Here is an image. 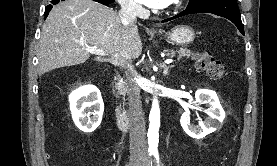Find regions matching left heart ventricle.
Instances as JSON below:
<instances>
[{
	"instance_id": "b2bd125f",
	"label": "left heart ventricle",
	"mask_w": 277,
	"mask_h": 166,
	"mask_svg": "<svg viewBox=\"0 0 277 166\" xmlns=\"http://www.w3.org/2000/svg\"><path fill=\"white\" fill-rule=\"evenodd\" d=\"M173 2H174V0H171L170 4L168 6H170Z\"/></svg>"
}]
</instances>
